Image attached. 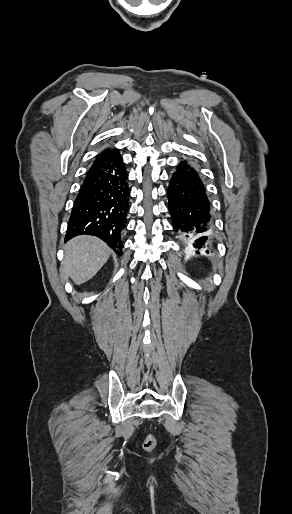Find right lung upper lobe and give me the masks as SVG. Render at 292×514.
<instances>
[{
  "label": "right lung upper lobe",
  "mask_w": 292,
  "mask_h": 514,
  "mask_svg": "<svg viewBox=\"0 0 292 514\" xmlns=\"http://www.w3.org/2000/svg\"><path fill=\"white\" fill-rule=\"evenodd\" d=\"M117 154H119L118 149H112V150L107 149V150H104L102 153H100L95 161L98 162V161H101L102 159H105V158H108L111 156H115Z\"/></svg>",
  "instance_id": "right-lung-upper-lobe-1"
}]
</instances>
